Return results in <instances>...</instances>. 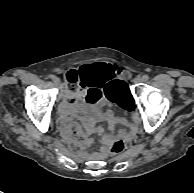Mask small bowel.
I'll return each mask as SVG.
<instances>
[{"instance_id": "obj_1", "label": "small bowel", "mask_w": 194, "mask_h": 193, "mask_svg": "<svg viewBox=\"0 0 194 193\" xmlns=\"http://www.w3.org/2000/svg\"><path fill=\"white\" fill-rule=\"evenodd\" d=\"M119 74V67L110 63L92 65L80 73L79 91L70 95V102L61 107L60 129L70 143L81 146L83 133L94 129L96 118L107 120L111 132L117 124L125 123L124 119L115 116L111 110H100V106L104 103L100 89L110 84ZM78 113L84 115L83 126L77 127L76 136L73 137L70 127Z\"/></svg>"}]
</instances>
